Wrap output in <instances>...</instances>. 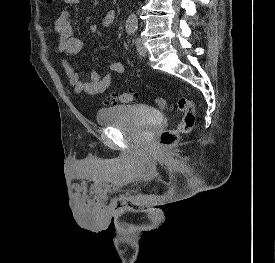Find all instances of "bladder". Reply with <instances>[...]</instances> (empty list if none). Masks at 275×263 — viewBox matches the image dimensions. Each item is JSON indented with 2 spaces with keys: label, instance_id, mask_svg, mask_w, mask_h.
<instances>
[{
  "label": "bladder",
  "instance_id": "obj_1",
  "mask_svg": "<svg viewBox=\"0 0 275 263\" xmlns=\"http://www.w3.org/2000/svg\"><path fill=\"white\" fill-rule=\"evenodd\" d=\"M95 118L101 127L135 131L159 124L161 115L152 106L120 105L99 109Z\"/></svg>",
  "mask_w": 275,
  "mask_h": 263
}]
</instances>
